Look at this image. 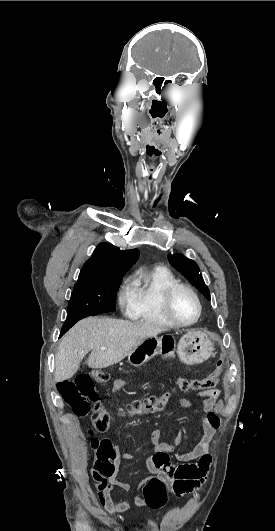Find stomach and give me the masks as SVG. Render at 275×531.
<instances>
[{
    "mask_svg": "<svg viewBox=\"0 0 275 531\" xmlns=\"http://www.w3.org/2000/svg\"><path fill=\"white\" fill-rule=\"evenodd\" d=\"M177 353L184 365H201L213 355L214 345L206 333L202 331H189L181 337L178 345L172 335L161 337H147L138 347L132 349L128 355V363L133 367H141L153 359L155 355L162 357H174Z\"/></svg>",
    "mask_w": 275,
    "mask_h": 531,
    "instance_id": "obj_1",
    "label": "stomach"
}]
</instances>
